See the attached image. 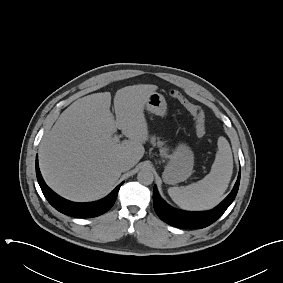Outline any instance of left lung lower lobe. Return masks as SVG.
<instances>
[{
	"mask_svg": "<svg viewBox=\"0 0 283 283\" xmlns=\"http://www.w3.org/2000/svg\"><path fill=\"white\" fill-rule=\"evenodd\" d=\"M240 174L231 193L217 207L206 212H187L169 206L158 194L156 186L153 189L154 209L161 220L174 227L183 229H200L215 222L230 206L236 197L240 183Z\"/></svg>",
	"mask_w": 283,
	"mask_h": 283,
	"instance_id": "left-lung-lower-lobe-1",
	"label": "left lung lower lobe"
}]
</instances>
